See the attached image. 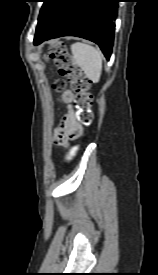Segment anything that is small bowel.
<instances>
[{
  "label": "small bowel",
  "instance_id": "small-bowel-1",
  "mask_svg": "<svg viewBox=\"0 0 158 275\" xmlns=\"http://www.w3.org/2000/svg\"><path fill=\"white\" fill-rule=\"evenodd\" d=\"M63 100L67 103L71 101V95H65ZM82 133V126L76 120V114L71 105H68V111L62 118L61 123L55 131V143L63 144L69 139L78 138Z\"/></svg>",
  "mask_w": 158,
  "mask_h": 275
}]
</instances>
